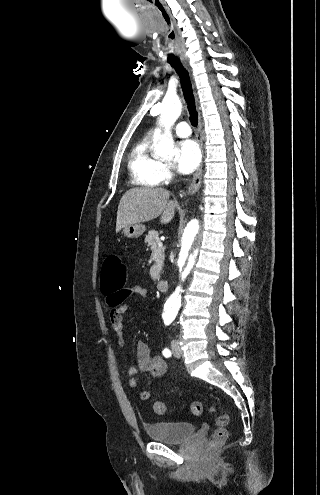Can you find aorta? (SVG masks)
Here are the masks:
<instances>
[{
  "label": "aorta",
  "mask_w": 320,
  "mask_h": 495,
  "mask_svg": "<svg viewBox=\"0 0 320 495\" xmlns=\"http://www.w3.org/2000/svg\"><path fill=\"white\" fill-rule=\"evenodd\" d=\"M181 111V101L175 95L166 96L161 104L155 105L152 108V112L158 115V123L164 127V131L154 147L156 155L169 159L174 156L175 144L171 128L181 115ZM204 234L205 224L200 217L191 219L181 232L180 248L175 261L182 280L188 276L193 268L202 245ZM180 292H182V289L178 286L165 304L166 312L172 317L177 315L181 306Z\"/></svg>",
  "instance_id": "762f6f07"
}]
</instances>
